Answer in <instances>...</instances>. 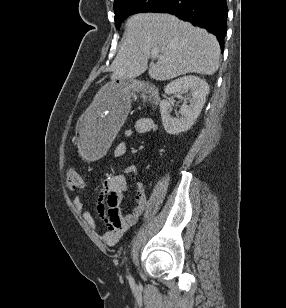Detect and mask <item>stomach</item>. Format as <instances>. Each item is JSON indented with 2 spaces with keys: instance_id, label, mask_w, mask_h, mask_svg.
I'll use <instances>...</instances> for the list:
<instances>
[{
  "instance_id": "1",
  "label": "stomach",
  "mask_w": 286,
  "mask_h": 308,
  "mask_svg": "<svg viewBox=\"0 0 286 308\" xmlns=\"http://www.w3.org/2000/svg\"><path fill=\"white\" fill-rule=\"evenodd\" d=\"M133 80L120 79L103 89H97L95 97H91V109H84L76 122L75 149H80L82 161L91 163L105 156V149H110L112 137L123 124V117L130 109V91Z\"/></svg>"
}]
</instances>
